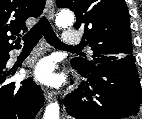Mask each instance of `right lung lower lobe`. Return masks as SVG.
Segmentation results:
<instances>
[{
  "instance_id": "right-lung-lower-lobe-1",
  "label": "right lung lower lobe",
  "mask_w": 142,
  "mask_h": 119,
  "mask_svg": "<svg viewBox=\"0 0 142 119\" xmlns=\"http://www.w3.org/2000/svg\"><path fill=\"white\" fill-rule=\"evenodd\" d=\"M9 58V52L0 54V119H34L44 103L42 90L31 78L5 84Z\"/></svg>"
}]
</instances>
